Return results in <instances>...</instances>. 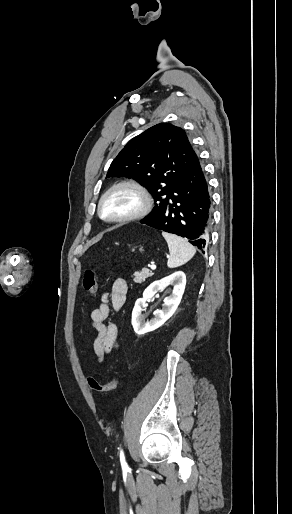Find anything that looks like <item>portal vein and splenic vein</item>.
<instances>
[{"instance_id": "18ae733b", "label": "portal vein and splenic vein", "mask_w": 292, "mask_h": 514, "mask_svg": "<svg viewBox=\"0 0 292 514\" xmlns=\"http://www.w3.org/2000/svg\"><path fill=\"white\" fill-rule=\"evenodd\" d=\"M151 270H156V266H150Z\"/></svg>"}]
</instances>
